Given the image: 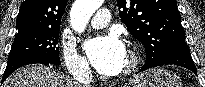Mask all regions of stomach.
Instances as JSON below:
<instances>
[{"mask_svg": "<svg viewBox=\"0 0 205 87\" xmlns=\"http://www.w3.org/2000/svg\"><path fill=\"white\" fill-rule=\"evenodd\" d=\"M179 77L171 71L154 68L136 75L126 87H181Z\"/></svg>", "mask_w": 205, "mask_h": 87, "instance_id": "stomach-1", "label": "stomach"}]
</instances>
